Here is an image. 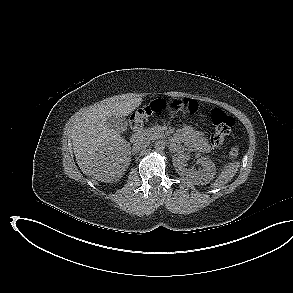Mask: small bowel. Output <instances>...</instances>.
Here are the masks:
<instances>
[{"instance_id":"c3829d8e","label":"small bowel","mask_w":293,"mask_h":293,"mask_svg":"<svg viewBox=\"0 0 293 293\" xmlns=\"http://www.w3.org/2000/svg\"><path fill=\"white\" fill-rule=\"evenodd\" d=\"M178 138L190 148L201 152H207L210 148L203 134L190 126L183 127L178 133Z\"/></svg>"}]
</instances>
